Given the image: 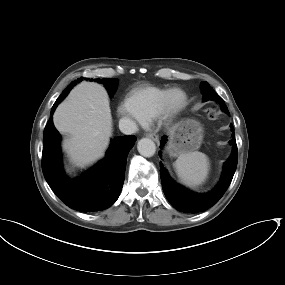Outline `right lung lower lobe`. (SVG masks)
Wrapping results in <instances>:
<instances>
[{
  "instance_id": "obj_1",
  "label": "right lung lower lobe",
  "mask_w": 285,
  "mask_h": 285,
  "mask_svg": "<svg viewBox=\"0 0 285 285\" xmlns=\"http://www.w3.org/2000/svg\"><path fill=\"white\" fill-rule=\"evenodd\" d=\"M72 87H67L56 100L52 114ZM60 140L61 136L51 117L43 134L42 171L53 192L68 207L80 212H95L112 206L120 195L126 159L136 137L122 136L113 139L105 158L75 182L69 180L63 171Z\"/></svg>"
}]
</instances>
